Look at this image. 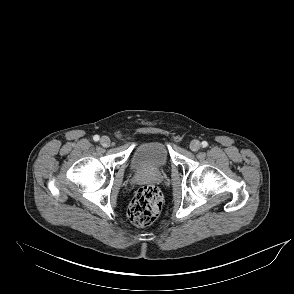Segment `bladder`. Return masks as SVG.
Wrapping results in <instances>:
<instances>
[{
  "instance_id": "bladder-1",
  "label": "bladder",
  "mask_w": 294,
  "mask_h": 294,
  "mask_svg": "<svg viewBox=\"0 0 294 294\" xmlns=\"http://www.w3.org/2000/svg\"><path fill=\"white\" fill-rule=\"evenodd\" d=\"M170 161L166 145L161 141H146L134 150L131 166L136 172L163 170Z\"/></svg>"
}]
</instances>
